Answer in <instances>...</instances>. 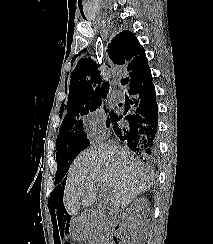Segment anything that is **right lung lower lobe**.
I'll return each instance as SVG.
<instances>
[{"label":"right lung lower lobe","mask_w":213,"mask_h":244,"mask_svg":"<svg viewBox=\"0 0 213 244\" xmlns=\"http://www.w3.org/2000/svg\"><path fill=\"white\" fill-rule=\"evenodd\" d=\"M134 111L129 115L114 114L111 124L115 135L142 160L157 155L158 110L150 68L129 89Z\"/></svg>","instance_id":"right-lung-lower-lobe-1"}]
</instances>
